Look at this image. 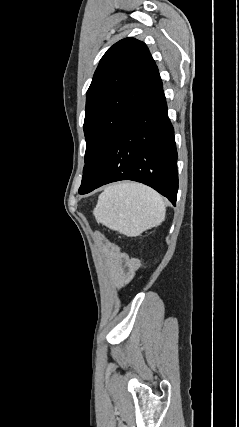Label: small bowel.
Here are the masks:
<instances>
[{"label": "small bowel", "mask_w": 239, "mask_h": 427, "mask_svg": "<svg viewBox=\"0 0 239 427\" xmlns=\"http://www.w3.org/2000/svg\"><path fill=\"white\" fill-rule=\"evenodd\" d=\"M106 256L112 268V275L117 287H124L135 275L138 261L113 243L104 242Z\"/></svg>", "instance_id": "small-bowel-1"}]
</instances>
